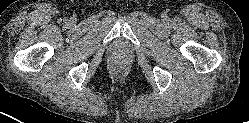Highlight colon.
Wrapping results in <instances>:
<instances>
[{
	"mask_svg": "<svg viewBox=\"0 0 249 123\" xmlns=\"http://www.w3.org/2000/svg\"><path fill=\"white\" fill-rule=\"evenodd\" d=\"M126 61V56L124 53L122 52H119V53H116L113 57V63L115 65H121L123 64L124 62Z\"/></svg>",
	"mask_w": 249,
	"mask_h": 123,
	"instance_id": "1",
	"label": "colon"
}]
</instances>
